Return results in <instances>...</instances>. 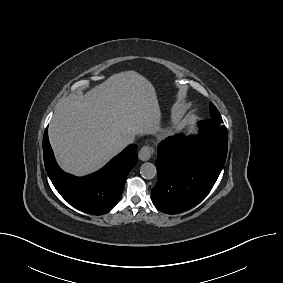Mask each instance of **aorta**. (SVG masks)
Returning <instances> with one entry per match:
<instances>
[{"label":"aorta","instance_id":"762f6f07","mask_svg":"<svg viewBox=\"0 0 283 283\" xmlns=\"http://www.w3.org/2000/svg\"><path fill=\"white\" fill-rule=\"evenodd\" d=\"M140 174L145 179H153L157 174V170L152 163L145 162L140 167Z\"/></svg>","mask_w":283,"mask_h":283}]
</instances>
